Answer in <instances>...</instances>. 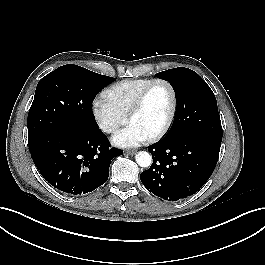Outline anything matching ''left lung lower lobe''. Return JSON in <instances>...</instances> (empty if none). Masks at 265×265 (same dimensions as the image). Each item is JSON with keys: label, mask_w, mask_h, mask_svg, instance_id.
<instances>
[{"label": "left lung lower lobe", "mask_w": 265, "mask_h": 265, "mask_svg": "<svg viewBox=\"0 0 265 265\" xmlns=\"http://www.w3.org/2000/svg\"><path fill=\"white\" fill-rule=\"evenodd\" d=\"M221 141L199 133L163 139L148 147L153 163L141 173V182L168 201L196 193L215 169Z\"/></svg>", "instance_id": "obj_1"}]
</instances>
